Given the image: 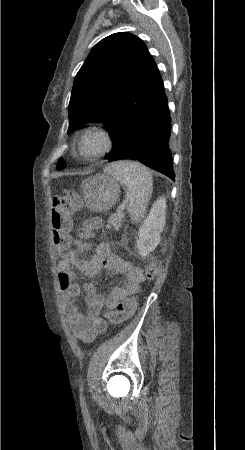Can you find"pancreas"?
<instances>
[{
  "label": "pancreas",
  "mask_w": 245,
  "mask_h": 450,
  "mask_svg": "<svg viewBox=\"0 0 245 450\" xmlns=\"http://www.w3.org/2000/svg\"><path fill=\"white\" fill-rule=\"evenodd\" d=\"M123 219V214L117 213L110 217L109 223L114 227V229H119L121 227V221Z\"/></svg>",
  "instance_id": "obj_1"
}]
</instances>
